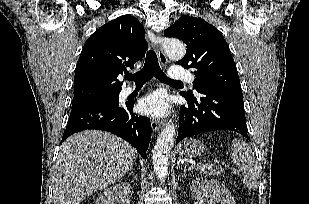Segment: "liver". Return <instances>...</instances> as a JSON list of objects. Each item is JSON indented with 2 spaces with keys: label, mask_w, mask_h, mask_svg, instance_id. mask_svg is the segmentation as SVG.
I'll return each instance as SVG.
<instances>
[{
  "label": "liver",
  "mask_w": 309,
  "mask_h": 204,
  "mask_svg": "<svg viewBox=\"0 0 309 204\" xmlns=\"http://www.w3.org/2000/svg\"><path fill=\"white\" fill-rule=\"evenodd\" d=\"M138 156L129 143L108 132L86 130L61 145L53 173L54 204H80L116 183Z\"/></svg>",
  "instance_id": "liver-1"
}]
</instances>
